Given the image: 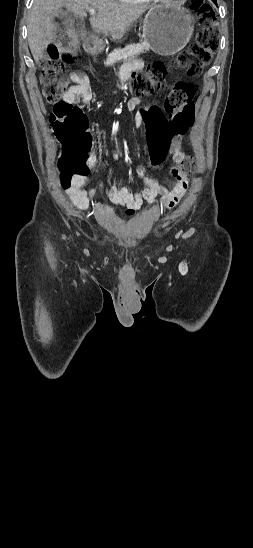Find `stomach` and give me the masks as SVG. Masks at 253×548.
<instances>
[{"label":"stomach","instance_id":"stomach-1","mask_svg":"<svg viewBox=\"0 0 253 548\" xmlns=\"http://www.w3.org/2000/svg\"><path fill=\"white\" fill-rule=\"evenodd\" d=\"M194 30L190 12L175 4L153 6L143 21V39L146 45L157 54L168 56L183 49ZM101 49L99 45L89 48Z\"/></svg>","mask_w":253,"mask_h":548}]
</instances>
